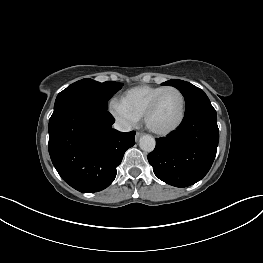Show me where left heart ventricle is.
Listing matches in <instances>:
<instances>
[{
    "label": "left heart ventricle",
    "mask_w": 263,
    "mask_h": 263,
    "mask_svg": "<svg viewBox=\"0 0 263 263\" xmlns=\"http://www.w3.org/2000/svg\"><path fill=\"white\" fill-rule=\"evenodd\" d=\"M181 110L180 94L177 91L170 90L161 97L149 118V123L155 129L168 128L179 119Z\"/></svg>",
    "instance_id": "obj_1"
}]
</instances>
